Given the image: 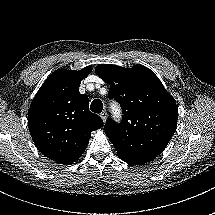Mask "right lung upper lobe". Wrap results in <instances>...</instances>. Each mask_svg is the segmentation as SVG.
I'll return each mask as SVG.
<instances>
[{
    "label": "right lung upper lobe",
    "instance_id": "1",
    "mask_svg": "<svg viewBox=\"0 0 215 215\" xmlns=\"http://www.w3.org/2000/svg\"><path fill=\"white\" fill-rule=\"evenodd\" d=\"M92 71L58 69L43 83L28 111L32 139L46 157L63 165L75 162L85 151L91 132L103 126L89 111V99L79 93L81 81Z\"/></svg>",
    "mask_w": 215,
    "mask_h": 215
}]
</instances>
